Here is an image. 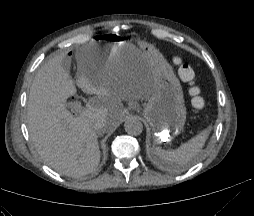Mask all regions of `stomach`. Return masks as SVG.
<instances>
[{"label":"stomach","mask_w":254,"mask_h":216,"mask_svg":"<svg viewBox=\"0 0 254 216\" xmlns=\"http://www.w3.org/2000/svg\"><path fill=\"white\" fill-rule=\"evenodd\" d=\"M87 65L91 80L102 72L146 64L153 88L143 116L152 129L154 144H167L179 135L186 122V107L180 82L163 55L152 45H135L113 34L96 36Z\"/></svg>","instance_id":"1"}]
</instances>
